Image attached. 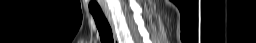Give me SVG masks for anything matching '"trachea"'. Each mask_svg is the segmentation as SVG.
Returning <instances> with one entry per match:
<instances>
[{
    "label": "trachea",
    "instance_id": "obj_1",
    "mask_svg": "<svg viewBox=\"0 0 256 43\" xmlns=\"http://www.w3.org/2000/svg\"><path fill=\"white\" fill-rule=\"evenodd\" d=\"M89 11L93 16L96 27L99 31L101 43H114L111 26L103 11L101 9H89Z\"/></svg>",
    "mask_w": 256,
    "mask_h": 43
}]
</instances>
